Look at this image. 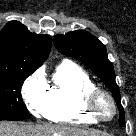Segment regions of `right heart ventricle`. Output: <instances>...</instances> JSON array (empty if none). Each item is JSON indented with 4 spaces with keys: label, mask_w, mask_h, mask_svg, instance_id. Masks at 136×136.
<instances>
[{
    "label": "right heart ventricle",
    "mask_w": 136,
    "mask_h": 136,
    "mask_svg": "<svg viewBox=\"0 0 136 136\" xmlns=\"http://www.w3.org/2000/svg\"><path fill=\"white\" fill-rule=\"evenodd\" d=\"M94 88L96 84L83 69L70 61L62 62L48 87V104L43 116L57 123H97L84 108V97Z\"/></svg>",
    "instance_id": "1"
}]
</instances>
